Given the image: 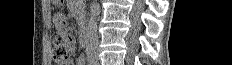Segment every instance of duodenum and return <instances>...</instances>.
<instances>
[{
    "instance_id": "duodenum-1",
    "label": "duodenum",
    "mask_w": 232,
    "mask_h": 65,
    "mask_svg": "<svg viewBox=\"0 0 232 65\" xmlns=\"http://www.w3.org/2000/svg\"><path fill=\"white\" fill-rule=\"evenodd\" d=\"M79 41H80L81 46L85 47L87 45V32L85 29L81 30Z\"/></svg>"
}]
</instances>
